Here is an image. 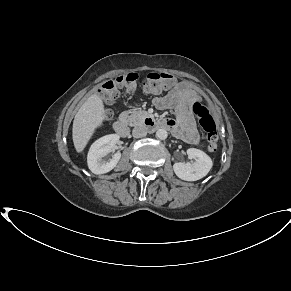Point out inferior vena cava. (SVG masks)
Here are the masks:
<instances>
[{
  "label": "inferior vena cava",
  "mask_w": 291,
  "mask_h": 291,
  "mask_svg": "<svg viewBox=\"0 0 291 291\" xmlns=\"http://www.w3.org/2000/svg\"><path fill=\"white\" fill-rule=\"evenodd\" d=\"M133 137L141 138L147 135V128L144 125L136 126L132 131Z\"/></svg>",
  "instance_id": "1"
}]
</instances>
